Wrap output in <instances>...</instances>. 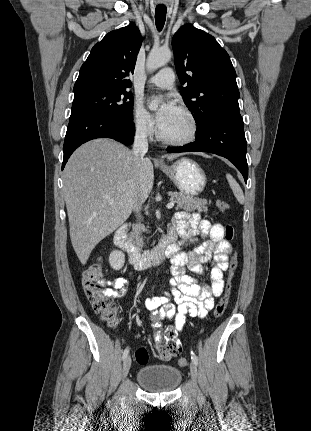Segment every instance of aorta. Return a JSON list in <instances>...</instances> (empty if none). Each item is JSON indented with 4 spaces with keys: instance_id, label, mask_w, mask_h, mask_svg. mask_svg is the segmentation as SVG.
Listing matches in <instances>:
<instances>
[{
    "instance_id": "aorta-1",
    "label": "aorta",
    "mask_w": 311,
    "mask_h": 431,
    "mask_svg": "<svg viewBox=\"0 0 311 431\" xmlns=\"http://www.w3.org/2000/svg\"><path fill=\"white\" fill-rule=\"evenodd\" d=\"M172 58V52L170 50H161V48H153L151 52H149V56L146 62V68L148 72H155L158 68H162L165 64H168ZM162 102V98H154L152 100L149 108L150 110H157L158 104Z\"/></svg>"
}]
</instances>
